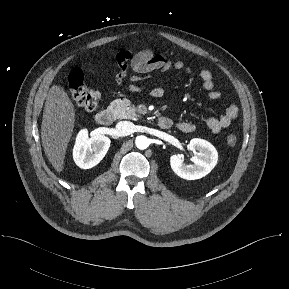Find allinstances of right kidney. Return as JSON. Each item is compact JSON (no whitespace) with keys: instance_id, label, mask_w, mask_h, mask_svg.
I'll return each mask as SVG.
<instances>
[{"instance_id":"1","label":"right kidney","mask_w":289,"mask_h":289,"mask_svg":"<svg viewBox=\"0 0 289 289\" xmlns=\"http://www.w3.org/2000/svg\"><path fill=\"white\" fill-rule=\"evenodd\" d=\"M110 139L101 134L88 136L87 129L79 131L73 148V159L82 169L96 166L106 155L110 147Z\"/></svg>"}]
</instances>
